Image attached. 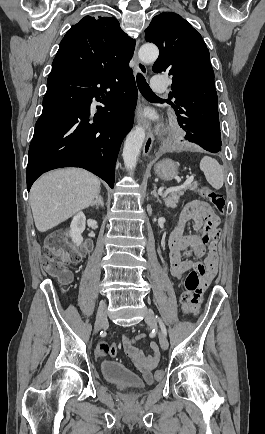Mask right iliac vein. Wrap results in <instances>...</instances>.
Masks as SVG:
<instances>
[{
  "instance_id": "right-iliac-vein-1",
  "label": "right iliac vein",
  "mask_w": 265,
  "mask_h": 434,
  "mask_svg": "<svg viewBox=\"0 0 265 434\" xmlns=\"http://www.w3.org/2000/svg\"><path fill=\"white\" fill-rule=\"evenodd\" d=\"M106 310H107L106 303L101 302L97 312L95 332H98L102 327H104L108 323Z\"/></svg>"
}]
</instances>
